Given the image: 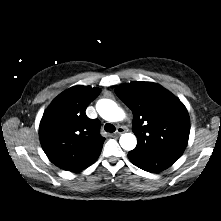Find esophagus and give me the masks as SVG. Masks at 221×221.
I'll list each match as a JSON object with an SVG mask.
<instances>
[{
	"label": "esophagus",
	"instance_id": "esophagus-1",
	"mask_svg": "<svg viewBox=\"0 0 221 221\" xmlns=\"http://www.w3.org/2000/svg\"><path fill=\"white\" fill-rule=\"evenodd\" d=\"M124 132H125V128L122 127V126H120V127L117 128L115 134H116V135H121V134H123Z\"/></svg>",
	"mask_w": 221,
	"mask_h": 221
}]
</instances>
